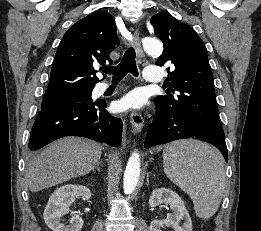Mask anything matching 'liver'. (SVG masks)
I'll return each instance as SVG.
<instances>
[{
	"instance_id": "obj_1",
	"label": "liver",
	"mask_w": 261,
	"mask_h": 231,
	"mask_svg": "<svg viewBox=\"0 0 261 231\" xmlns=\"http://www.w3.org/2000/svg\"><path fill=\"white\" fill-rule=\"evenodd\" d=\"M102 150L100 144L78 137L51 143L27 164L30 191L38 192L89 173L99 162Z\"/></svg>"
}]
</instances>
